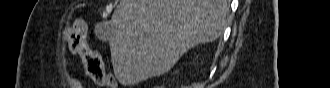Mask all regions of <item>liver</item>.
<instances>
[{
    "label": "liver",
    "instance_id": "6515ba94",
    "mask_svg": "<svg viewBox=\"0 0 330 88\" xmlns=\"http://www.w3.org/2000/svg\"><path fill=\"white\" fill-rule=\"evenodd\" d=\"M227 0H120L104 25L125 86L168 72L190 48L223 32Z\"/></svg>",
    "mask_w": 330,
    "mask_h": 88
}]
</instances>
